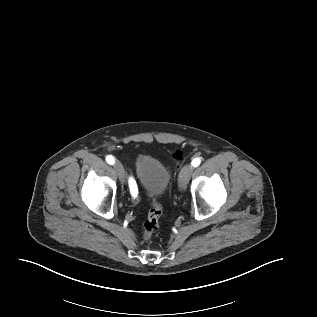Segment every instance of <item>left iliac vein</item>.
<instances>
[{"label": "left iliac vein", "instance_id": "obj_1", "mask_svg": "<svg viewBox=\"0 0 317 317\" xmlns=\"http://www.w3.org/2000/svg\"><path fill=\"white\" fill-rule=\"evenodd\" d=\"M193 172V167L191 164H186L179 173V188L181 190H184L186 188V185L188 181L190 180V177Z\"/></svg>", "mask_w": 317, "mask_h": 317}]
</instances>
